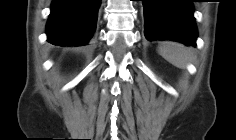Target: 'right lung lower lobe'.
I'll return each instance as SVG.
<instances>
[{
	"instance_id": "obj_1",
	"label": "right lung lower lobe",
	"mask_w": 236,
	"mask_h": 140,
	"mask_svg": "<svg viewBox=\"0 0 236 140\" xmlns=\"http://www.w3.org/2000/svg\"><path fill=\"white\" fill-rule=\"evenodd\" d=\"M101 0H52L47 40L63 46H83L96 28Z\"/></svg>"
}]
</instances>
